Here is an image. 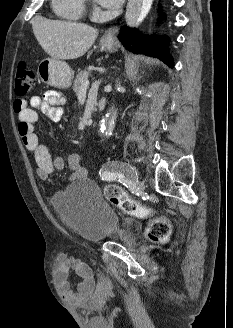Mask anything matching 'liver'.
<instances>
[{
	"mask_svg": "<svg viewBox=\"0 0 233 328\" xmlns=\"http://www.w3.org/2000/svg\"><path fill=\"white\" fill-rule=\"evenodd\" d=\"M34 35L42 49L54 59H76L95 42L98 31L86 24L35 17Z\"/></svg>",
	"mask_w": 233,
	"mask_h": 328,
	"instance_id": "obj_1",
	"label": "liver"
}]
</instances>
